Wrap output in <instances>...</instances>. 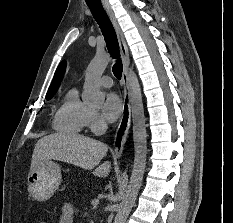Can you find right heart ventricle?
I'll return each instance as SVG.
<instances>
[{
  "instance_id": "1",
  "label": "right heart ventricle",
  "mask_w": 233,
  "mask_h": 223,
  "mask_svg": "<svg viewBox=\"0 0 233 223\" xmlns=\"http://www.w3.org/2000/svg\"><path fill=\"white\" fill-rule=\"evenodd\" d=\"M89 111L88 106L80 100L77 88H70L54 110L52 128L60 133L78 134L87 126Z\"/></svg>"
}]
</instances>
